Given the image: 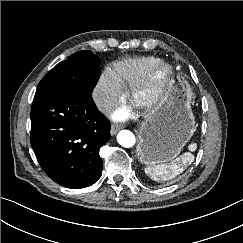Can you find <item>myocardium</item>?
Listing matches in <instances>:
<instances>
[{
  "mask_svg": "<svg viewBox=\"0 0 243 243\" xmlns=\"http://www.w3.org/2000/svg\"><path fill=\"white\" fill-rule=\"evenodd\" d=\"M174 68L166 61L158 60L128 92L130 102L145 113L154 112L162 104L173 81Z\"/></svg>",
  "mask_w": 243,
  "mask_h": 243,
  "instance_id": "1",
  "label": "myocardium"
}]
</instances>
